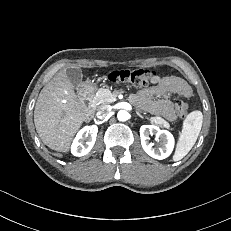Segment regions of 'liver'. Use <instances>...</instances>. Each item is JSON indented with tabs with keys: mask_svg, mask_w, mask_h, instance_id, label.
Segmentation results:
<instances>
[{
	"mask_svg": "<svg viewBox=\"0 0 231 231\" xmlns=\"http://www.w3.org/2000/svg\"><path fill=\"white\" fill-rule=\"evenodd\" d=\"M89 115L63 69L41 90L35 104L34 123L46 146L68 152L74 135Z\"/></svg>",
	"mask_w": 231,
	"mask_h": 231,
	"instance_id": "obj_1",
	"label": "liver"
}]
</instances>
